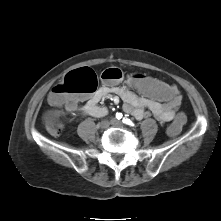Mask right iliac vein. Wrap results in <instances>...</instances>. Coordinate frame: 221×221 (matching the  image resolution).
I'll return each instance as SVG.
<instances>
[{
	"label": "right iliac vein",
	"mask_w": 221,
	"mask_h": 221,
	"mask_svg": "<svg viewBox=\"0 0 221 221\" xmlns=\"http://www.w3.org/2000/svg\"><path fill=\"white\" fill-rule=\"evenodd\" d=\"M110 123H111V122H109L108 120H103V121H101V122L98 124V126H99V128H101V129H106V128L109 127Z\"/></svg>",
	"instance_id": "63e3f726"
}]
</instances>
